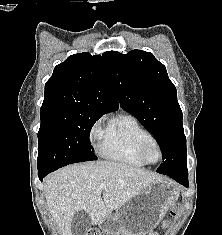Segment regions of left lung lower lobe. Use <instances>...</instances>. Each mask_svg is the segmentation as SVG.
Returning <instances> with one entry per match:
<instances>
[{"label":"left lung lower lobe","mask_w":222,"mask_h":235,"mask_svg":"<svg viewBox=\"0 0 222 235\" xmlns=\"http://www.w3.org/2000/svg\"><path fill=\"white\" fill-rule=\"evenodd\" d=\"M168 175L178 183L182 184L185 187H188V175H172V174H164Z\"/></svg>","instance_id":"obj_1"}]
</instances>
